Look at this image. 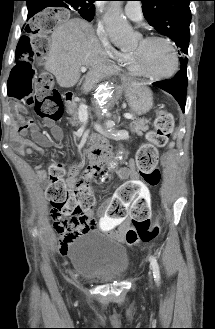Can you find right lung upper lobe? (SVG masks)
I'll return each mask as SVG.
<instances>
[{"instance_id": "obj_1", "label": "right lung upper lobe", "mask_w": 215, "mask_h": 329, "mask_svg": "<svg viewBox=\"0 0 215 329\" xmlns=\"http://www.w3.org/2000/svg\"><path fill=\"white\" fill-rule=\"evenodd\" d=\"M39 1L43 2L42 7L44 9L46 7H64V5L66 4V1H68V0H39ZM76 1H82L85 4L94 7L93 3L96 0H76Z\"/></svg>"}]
</instances>
